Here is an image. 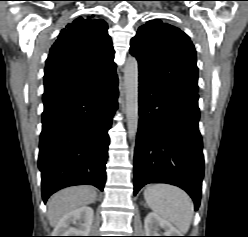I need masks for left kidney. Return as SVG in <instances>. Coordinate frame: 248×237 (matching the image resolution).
<instances>
[{
	"label": "left kidney",
	"instance_id": "obj_1",
	"mask_svg": "<svg viewBox=\"0 0 248 237\" xmlns=\"http://www.w3.org/2000/svg\"><path fill=\"white\" fill-rule=\"evenodd\" d=\"M144 229L145 236H182L170 222L153 212L146 216ZM159 229L164 231L163 234H159Z\"/></svg>",
	"mask_w": 248,
	"mask_h": 237
}]
</instances>
